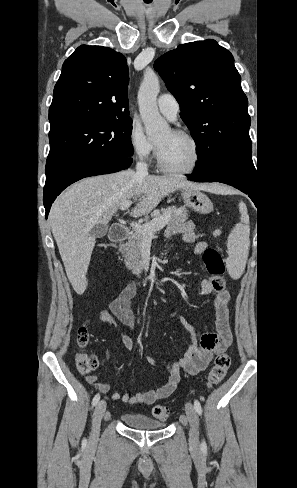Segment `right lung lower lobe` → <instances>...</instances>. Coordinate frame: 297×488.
<instances>
[{
    "label": "right lung lower lobe",
    "instance_id": "1",
    "mask_svg": "<svg viewBox=\"0 0 297 488\" xmlns=\"http://www.w3.org/2000/svg\"><path fill=\"white\" fill-rule=\"evenodd\" d=\"M132 158H108L91 161L76 166L67 171L53 182L45 184L43 203L46 210V218L51 204L56 197L70 184L89 176L108 174L128 168L132 164Z\"/></svg>",
    "mask_w": 297,
    "mask_h": 488
}]
</instances>
